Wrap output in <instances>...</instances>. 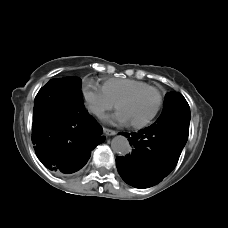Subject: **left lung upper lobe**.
I'll list each match as a JSON object with an SVG mask.
<instances>
[{
    "label": "left lung upper lobe",
    "instance_id": "left-lung-upper-lobe-1",
    "mask_svg": "<svg viewBox=\"0 0 228 228\" xmlns=\"http://www.w3.org/2000/svg\"><path fill=\"white\" fill-rule=\"evenodd\" d=\"M156 123H162L174 130L179 129L185 137H188L190 108L183 95L177 92L166 95L165 107Z\"/></svg>",
    "mask_w": 228,
    "mask_h": 228
}]
</instances>
